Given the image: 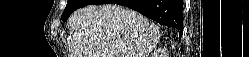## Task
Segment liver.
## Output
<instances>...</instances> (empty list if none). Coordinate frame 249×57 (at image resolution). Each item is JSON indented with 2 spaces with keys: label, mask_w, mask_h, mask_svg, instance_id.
Returning <instances> with one entry per match:
<instances>
[{
  "label": "liver",
  "mask_w": 249,
  "mask_h": 57,
  "mask_svg": "<svg viewBox=\"0 0 249 57\" xmlns=\"http://www.w3.org/2000/svg\"><path fill=\"white\" fill-rule=\"evenodd\" d=\"M70 25L72 57H148L160 39L155 23L117 4L78 9Z\"/></svg>",
  "instance_id": "obj_1"
}]
</instances>
